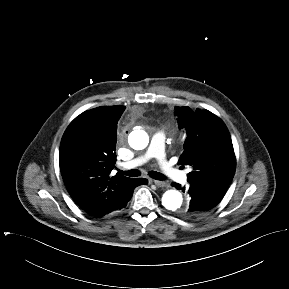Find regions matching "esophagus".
<instances>
[{"instance_id": "1", "label": "esophagus", "mask_w": 289, "mask_h": 289, "mask_svg": "<svg viewBox=\"0 0 289 289\" xmlns=\"http://www.w3.org/2000/svg\"><path fill=\"white\" fill-rule=\"evenodd\" d=\"M152 182L158 187H165L167 185V183L164 181L153 180Z\"/></svg>"}]
</instances>
